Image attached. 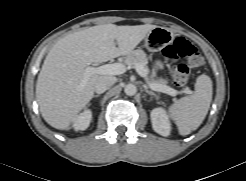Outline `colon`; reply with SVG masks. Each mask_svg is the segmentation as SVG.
<instances>
[{
    "label": "colon",
    "mask_w": 246,
    "mask_h": 181,
    "mask_svg": "<svg viewBox=\"0 0 246 181\" xmlns=\"http://www.w3.org/2000/svg\"><path fill=\"white\" fill-rule=\"evenodd\" d=\"M162 55L168 61H176L186 58L193 68H200L204 65V58L198 48L183 37L176 38L171 44L162 50ZM175 83L184 86L189 79V68L183 63L175 65L173 69Z\"/></svg>",
    "instance_id": "obj_1"
}]
</instances>
